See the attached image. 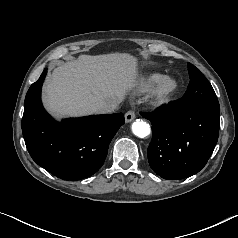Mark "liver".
I'll list each match as a JSON object with an SVG mask.
<instances>
[{"instance_id": "obj_1", "label": "liver", "mask_w": 238, "mask_h": 238, "mask_svg": "<svg viewBox=\"0 0 238 238\" xmlns=\"http://www.w3.org/2000/svg\"><path fill=\"white\" fill-rule=\"evenodd\" d=\"M137 74V59L130 54L80 55L53 70L43 102L56 117L95 114L100 104L122 102Z\"/></svg>"}]
</instances>
